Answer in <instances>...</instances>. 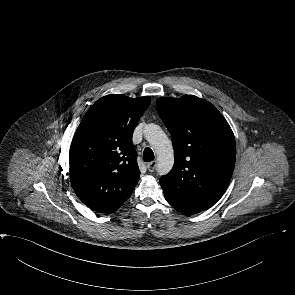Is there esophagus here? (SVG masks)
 I'll return each instance as SVG.
<instances>
[{"mask_svg":"<svg viewBox=\"0 0 295 295\" xmlns=\"http://www.w3.org/2000/svg\"><path fill=\"white\" fill-rule=\"evenodd\" d=\"M156 166H157L156 161H151V162L147 163V168L150 172H154V170L156 169Z\"/></svg>","mask_w":295,"mask_h":295,"instance_id":"esophagus-1","label":"esophagus"}]
</instances>
